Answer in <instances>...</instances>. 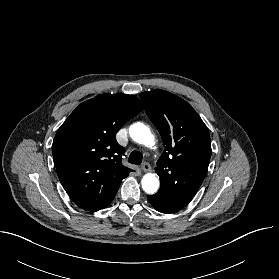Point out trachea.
<instances>
[{"label": "trachea", "instance_id": "obj_1", "mask_svg": "<svg viewBox=\"0 0 279 279\" xmlns=\"http://www.w3.org/2000/svg\"><path fill=\"white\" fill-rule=\"evenodd\" d=\"M128 162L131 164L140 165L142 162L141 153L139 151H133L128 158Z\"/></svg>", "mask_w": 279, "mask_h": 279}]
</instances>
